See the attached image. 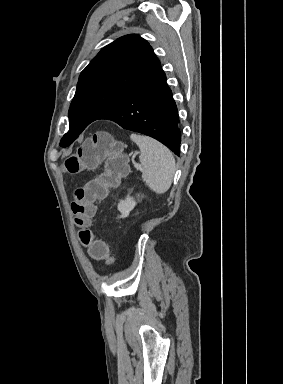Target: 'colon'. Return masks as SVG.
Wrapping results in <instances>:
<instances>
[{"mask_svg": "<svg viewBox=\"0 0 283 384\" xmlns=\"http://www.w3.org/2000/svg\"><path fill=\"white\" fill-rule=\"evenodd\" d=\"M101 163L104 164L102 172L75 189L72 211L80 228L79 238L91 257L112 264L114 258L108 246L101 240H94L90 225L95 215V203L104 199L129 171L120 145L108 133L95 132L65 160L63 168L69 174H77Z\"/></svg>", "mask_w": 283, "mask_h": 384, "instance_id": "1", "label": "colon"}]
</instances>
